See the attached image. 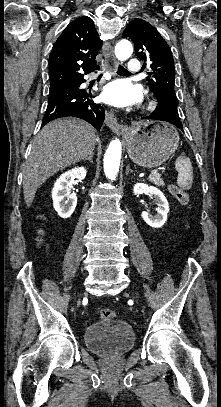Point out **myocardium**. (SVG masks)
<instances>
[{
    "label": "myocardium",
    "instance_id": "myocardium-1",
    "mask_svg": "<svg viewBox=\"0 0 221 407\" xmlns=\"http://www.w3.org/2000/svg\"><path fill=\"white\" fill-rule=\"evenodd\" d=\"M154 107V103L153 102H149V104H148V109H151V108H153Z\"/></svg>",
    "mask_w": 221,
    "mask_h": 407
}]
</instances>
